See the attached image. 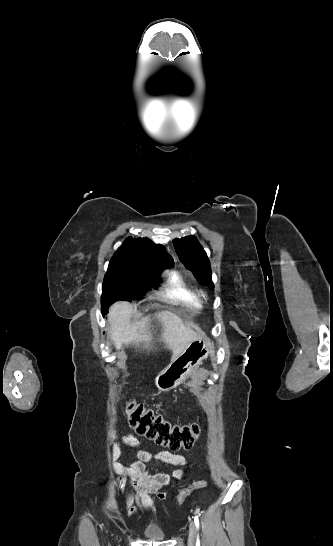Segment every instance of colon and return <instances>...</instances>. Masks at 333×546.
Listing matches in <instances>:
<instances>
[{
  "label": "colon",
  "mask_w": 333,
  "mask_h": 546,
  "mask_svg": "<svg viewBox=\"0 0 333 546\" xmlns=\"http://www.w3.org/2000/svg\"><path fill=\"white\" fill-rule=\"evenodd\" d=\"M126 416L129 426L138 434L171 450L189 451L199 439L200 427L198 424L173 425L137 402H129L126 405ZM205 485L204 481L194 482L179 494V503H183L193 491L201 489Z\"/></svg>",
  "instance_id": "obj_1"
}]
</instances>
